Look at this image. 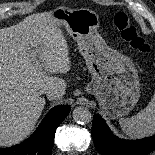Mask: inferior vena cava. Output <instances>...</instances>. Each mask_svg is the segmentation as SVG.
I'll return each instance as SVG.
<instances>
[{
  "label": "inferior vena cava",
  "mask_w": 155,
  "mask_h": 155,
  "mask_svg": "<svg viewBox=\"0 0 155 155\" xmlns=\"http://www.w3.org/2000/svg\"><path fill=\"white\" fill-rule=\"evenodd\" d=\"M43 94L46 95L48 100H54V99H57V98H61V96H62V93L56 87L46 88L44 90Z\"/></svg>",
  "instance_id": "obj_1"
}]
</instances>
